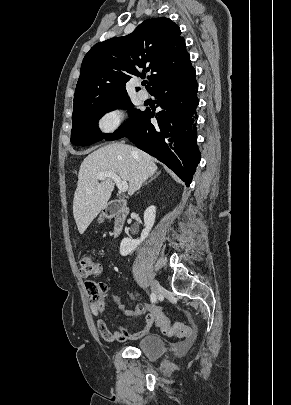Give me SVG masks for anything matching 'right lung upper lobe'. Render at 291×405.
<instances>
[{
	"label": "right lung upper lobe",
	"instance_id": "1",
	"mask_svg": "<svg viewBox=\"0 0 291 405\" xmlns=\"http://www.w3.org/2000/svg\"><path fill=\"white\" fill-rule=\"evenodd\" d=\"M180 28L169 18L145 20L130 35L95 44L85 55L77 82L73 113L128 96L125 85L138 68L151 72L147 90L193 73ZM139 90V88H137Z\"/></svg>",
	"mask_w": 291,
	"mask_h": 405
}]
</instances>
